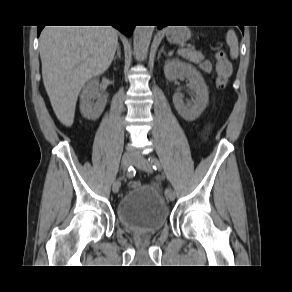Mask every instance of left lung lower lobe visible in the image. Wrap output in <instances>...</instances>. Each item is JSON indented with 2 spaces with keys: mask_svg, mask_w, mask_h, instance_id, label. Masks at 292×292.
Here are the masks:
<instances>
[{
  "mask_svg": "<svg viewBox=\"0 0 292 292\" xmlns=\"http://www.w3.org/2000/svg\"><path fill=\"white\" fill-rule=\"evenodd\" d=\"M162 27H163L162 25H159V26H158V28H162ZM240 28H241L242 32H244V28H243V26H240Z\"/></svg>",
  "mask_w": 292,
  "mask_h": 292,
  "instance_id": "1",
  "label": "left lung lower lobe"
}]
</instances>
